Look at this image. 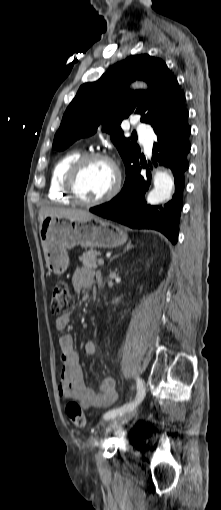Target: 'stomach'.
Listing matches in <instances>:
<instances>
[{"mask_svg": "<svg viewBox=\"0 0 221 510\" xmlns=\"http://www.w3.org/2000/svg\"><path fill=\"white\" fill-rule=\"evenodd\" d=\"M39 233L47 267L55 274L66 271L68 250L76 245L90 249L114 248L124 244L128 238L121 227L96 217L68 219L59 215L45 216Z\"/></svg>", "mask_w": 221, "mask_h": 510, "instance_id": "0dacf381", "label": "stomach"}]
</instances>
